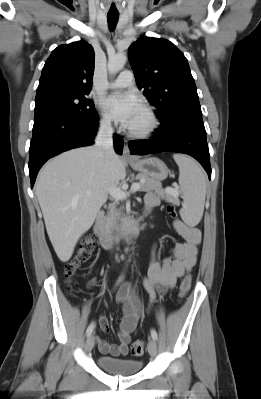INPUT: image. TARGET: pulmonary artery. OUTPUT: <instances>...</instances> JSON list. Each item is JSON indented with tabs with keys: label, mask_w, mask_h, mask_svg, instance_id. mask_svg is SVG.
<instances>
[{
	"label": "pulmonary artery",
	"mask_w": 261,
	"mask_h": 399,
	"mask_svg": "<svg viewBox=\"0 0 261 399\" xmlns=\"http://www.w3.org/2000/svg\"><path fill=\"white\" fill-rule=\"evenodd\" d=\"M133 84V73L129 70L122 71L118 77L109 84L112 89L126 88Z\"/></svg>",
	"instance_id": "1"
}]
</instances>
